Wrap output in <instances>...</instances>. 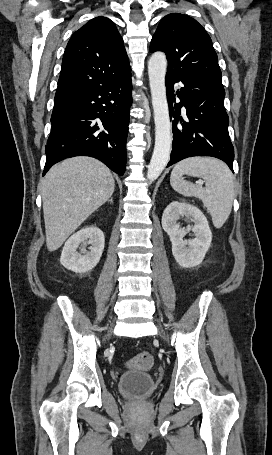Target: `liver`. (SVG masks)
I'll list each match as a JSON object with an SVG mask.
<instances>
[{"label":"liver","instance_id":"1","mask_svg":"<svg viewBox=\"0 0 272 455\" xmlns=\"http://www.w3.org/2000/svg\"><path fill=\"white\" fill-rule=\"evenodd\" d=\"M110 170L91 157H74L53 166L42 183L46 246L52 252L113 194Z\"/></svg>","mask_w":272,"mask_h":455}]
</instances>
